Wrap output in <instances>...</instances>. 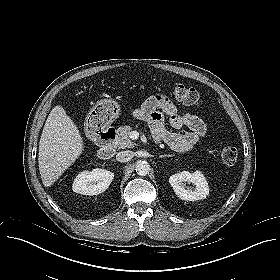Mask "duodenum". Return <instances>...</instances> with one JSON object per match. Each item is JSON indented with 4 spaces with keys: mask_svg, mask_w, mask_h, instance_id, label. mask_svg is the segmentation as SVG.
Masks as SVG:
<instances>
[{
    "mask_svg": "<svg viewBox=\"0 0 280 280\" xmlns=\"http://www.w3.org/2000/svg\"><path fill=\"white\" fill-rule=\"evenodd\" d=\"M116 137L117 129L112 125L107 126L98 132L96 138L100 142L98 150V156L100 159L107 160L114 156Z\"/></svg>",
    "mask_w": 280,
    "mask_h": 280,
    "instance_id": "1",
    "label": "duodenum"
}]
</instances>
